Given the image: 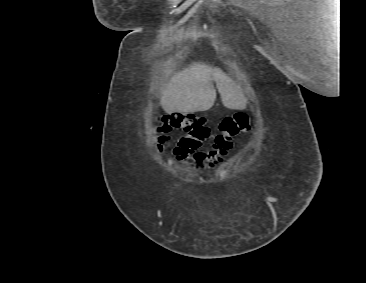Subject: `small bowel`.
Listing matches in <instances>:
<instances>
[{
  "label": "small bowel",
  "mask_w": 366,
  "mask_h": 283,
  "mask_svg": "<svg viewBox=\"0 0 366 283\" xmlns=\"http://www.w3.org/2000/svg\"><path fill=\"white\" fill-rule=\"evenodd\" d=\"M168 141L169 138L167 136H160L157 139V150L158 151H163L167 146H168ZM232 148V145H228V146H222L220 148V151L217 152V154L215 155L214 159H213V164H217L218 162H220L222 160V158L228 153V151Z\"/></svg>",
  "instance_id": "1"
}]
</instances>
